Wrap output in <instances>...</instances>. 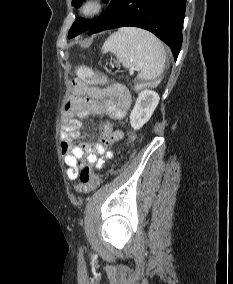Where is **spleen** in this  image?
Masks as SVG:
<instances>
[{"label":"spleen","instance_id":"spleen-1","mask_svg":"<svg viewBox=\"0 0 233 284\" xmlns=\"http://www.w3.org/2000/svg\"><path fill=\"white\" fill-rule=\"evenodd\" d=\"M103 53L112 52L124 67H136L137 79L153 81L165 68V50L152 33L135 27L120 28L103 44Z\"/></svg>","mask_w":233,"mask_h":284}]
</instances>
